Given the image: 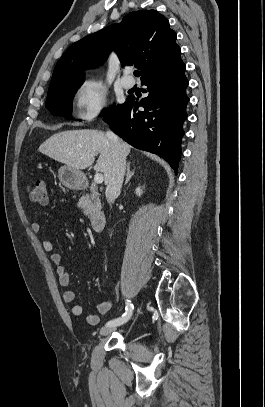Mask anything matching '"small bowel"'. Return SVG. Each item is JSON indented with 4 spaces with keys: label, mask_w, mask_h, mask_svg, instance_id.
Wrapping results in <instances>:
<instances>
[{
    "label": "small bowel",
    "mask_w": 265,
    "mask_h": 407,
    "mask_svg": "<svg viewBox=\"0 0 265 407\" xmlns=\"http://www.w3.org/2000/svg\"><path fill=\"white\" fill-rule=\"evenodd\" d=\"M31 229L34 233H39L42 229V225L39 222H33L31 225ZM41 245L43 250L50 254V259L56 266V272L60 285L66 288L63 293L64 302L73 304L71 307V313L74 316H80L83 313V307L80 304L74 303L76 300V292L73 289L69 288L71 285V277L62 262V256L59 253L54 252L53 244L48 239H43ZM111 307L112 303L109 300H105L98 303L97 310L100 314H106L110 311ZM86 320L89 325L95 326L99 323V315L89 314Z\"/></svg>",
    "instance_id": "1"
}]
</instances>
